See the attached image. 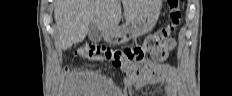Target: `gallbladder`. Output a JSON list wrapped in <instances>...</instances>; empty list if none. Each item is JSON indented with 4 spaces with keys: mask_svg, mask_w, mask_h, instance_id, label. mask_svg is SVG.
Instances as JSON below:
<instances>
[{
    "mask_svg": "<svg viewBox=\"0 0 232 96\" xmlns=\"http://www.w3.org/2000/svg\"><path fill=\"white\" fill-rule=\"evenodd\" d=\"M102 32L98 29V27L94 23L89 24L88 37L91 41L97 42L102 38Z\"/></svg>",
    "mask_w": 232,
    "mask_h": 96,
    "instance_id": "obj_1",
    "label": "gallbladder"
}]
</instances>
